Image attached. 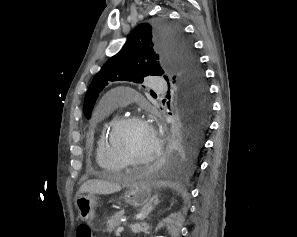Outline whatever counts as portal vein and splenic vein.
<instances>
[{
	"label": "portal vein and splenic vein",
	"instance_id": "portal-vein-and-splenic-vein-1",
	"mask_svg": "<svg viewBox=\"0 0 297 237\" xmlns=\"http://www.w3.org/2000/svg\"><path fill=\"white\" fill-rule=\"evenodd\" d=\"M124 230V227H119L116 230V235L120 234Z\"/></svg>",
	"mask_w": 297,
	"mask_h": 237
}]
</instances>
